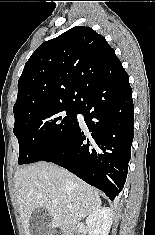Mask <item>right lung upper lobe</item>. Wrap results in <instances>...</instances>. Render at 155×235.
<instances>
[{"mask_svg":"<svg viewBox=\"0 0 155 235\" xmlns=\"http://www.w3.org/2000/svg\"><path fill=\"white\" fill-rule=\"evenodd\" d=\"M122 71V63L102 35L75 26L41 44L26 62L18 81L14 116L77 105L87 90Z\"/></svg>","mask_w":155,"mask_h":235,"instance_id":"cb5924a9","label":"right lung upper lobe"}]
</instances>
